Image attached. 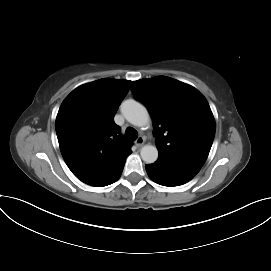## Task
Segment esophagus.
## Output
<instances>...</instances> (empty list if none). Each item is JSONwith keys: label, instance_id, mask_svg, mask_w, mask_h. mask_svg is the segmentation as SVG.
Instances as JSON below:
<instances>
[{"label": "esophagus", "instance_id": "obj_1", "mask_svg": "<svg viewBox=\"0 0 271 271\" xmlns=\"http://www.w3.org/2000/svg\"><path fill=\"white\" fill-rule=\"evenodd\" d=\"M144 143H145V138L143 136H139L135 141V144L138 147H141Z\"/></svg>", "mask_w": 271, "mask_h": 271}]
</instances>
